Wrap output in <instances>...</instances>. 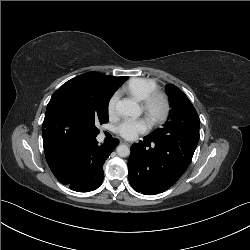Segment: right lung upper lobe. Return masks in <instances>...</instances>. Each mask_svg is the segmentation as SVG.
<instances>
[{"instance_id":"right-lung-upper-lobe-1","label":"right lung upper lobe","mask_w":250,"mask_h":250,"mask_svg":"<svg viewBox=\"0 0 250 250\" xmlns=\"http://www.w3.org/2000/svg\"><path fill=\"white\" fill-rule=\"evenodd\" d=\"M103 76L106 77L111 83L118 85V87L121 86L123 82L128 79V77H112V76H106V75H103ZM59 143L61 142L51 138L43 130V144H44V150L46 152L56 147Z\"/></svg>"}]
</instances>
